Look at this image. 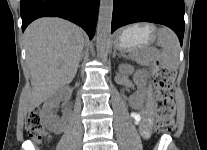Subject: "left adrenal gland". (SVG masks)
Returning a JSON list of instances; mask_svg holds the SVG:
<instances>
[{
	"instance_id": "a2214340",
	"label": "left adrenal gland",
	"mask_w": 207,
	"mask_h": 150,
	"mask_svg": "<svg viewBox=\"0 0 207 150\" xmlns=\"http://www.w3.org/2000/svg\"><path fill=\"white\" fill-rule=\"evenodd\" d=\"M116 55L119 56V54H117V52H116V49H114L113 56H116Z\"/></svg>"
}]
</instances>
